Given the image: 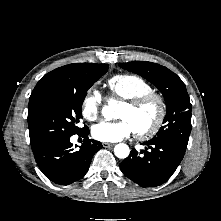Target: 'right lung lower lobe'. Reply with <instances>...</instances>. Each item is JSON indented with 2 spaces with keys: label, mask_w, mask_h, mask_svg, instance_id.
<instances>
[{
  "label": "right lung lower lobe",
  "mask_w": 221,
  "mask_h": 221,
  "mask_svg": "<svg viewBox=\"0 0 221 221\" xmlns=\"http://www.w3.org/2000/svg\"><path fill=\"white\" fill-rule=\"evenodd\" d=\"M77 134L86 138L89 134L88 127ZM70 137L57 138L33 150L43 174L60 185H68L81 179L88 172L93 155L102 147L100 142L86 138L79 149L75 150Z\"/></svg>",
  "instance_id": "1"
}]
</instances>
